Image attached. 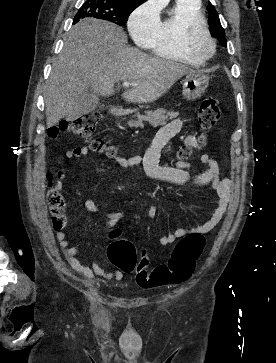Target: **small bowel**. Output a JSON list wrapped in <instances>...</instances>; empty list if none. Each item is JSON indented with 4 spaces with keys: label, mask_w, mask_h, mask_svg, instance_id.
Returning a JSON list of instances; mask_svg holds the SVG:
<instances>
[{
    "label": "small bowel",
    "mask_w": 276,
    "mask_h": 363,
    "mask_svg": "<svg viewBox=\"0 0 276 363\" xmlns=\"http://www.w3.org/2000/svg\"><path fill=\"white\" fill-rule=\"evenodd\" d=\"M182 126L183 120L180 118H176L163 126L157 132L143 157H135L128 160L120 157L114 158L115 162L124 168H130L135 164L141 163L147 176L156 181L181 186L188 185L201 187L210 185L213 188L216 196V207L210 219L200 226L180 227L169 235L161 236L159 238V244L161 245H170L176 239L190 233L206 234L215 230L226 214L231 199L232 182L228 178H220V165L210 155H203L201 157V162L205 168L200 172H191V166L183 162H178L175 165L160 163L159 158L162 148L170 139L179 134ZM181 140L185 146L194 149H201L207 144V142L201 141L194 135L182 136ZM88 154L89 149L87 146H78L66 151L65 158L67 160L83 158ZM65 178V172L60 171L58 181L55 186L57 190L60 191L64 188ZM76 194L80 195L78 191H76ZM84 205L86 209L92 212L100 211V208L91 200L85 201ZM155 215V207H150L146 212V216L148 218H153ZM122 218V213H110L107 215L105 226H113L119 223ZM56 237L60 242L61 248L64 250L65 257L70 266L76 272L84 276L88 281L94 282L96 279L120 281L123 279L124 275L122 271L105 269L101 267L96 260H93L89 266L84 265L79 259L81 248L77 246H70V240L66 237L65 232H58Z\"/></svg>",
    "instance_id": "small-bowel-1"
}]
</instances>
